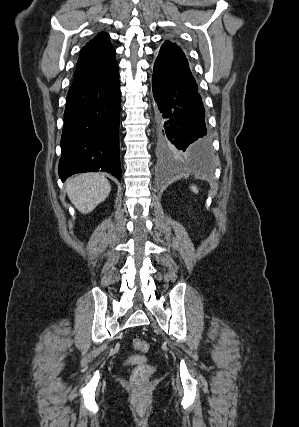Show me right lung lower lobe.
Masks as SVG:
<instances>
[{
	"instance_id": "obj_1",
	"label": "right lung lower lobe",
	"mask_w": 299,
	"mask_h": 427,
	"mask_svg": "<svg viewBox=\"0 0 299 427\" xmlns=\"http://www.w3.org/2000/svg\"><path fill=\"white\" fill-rule=\"evenodd\" d=\"M118 69L108 77L68 91L61 138L59 176L108 171L121 179Z\"/></svg>"
}]
</instances>
